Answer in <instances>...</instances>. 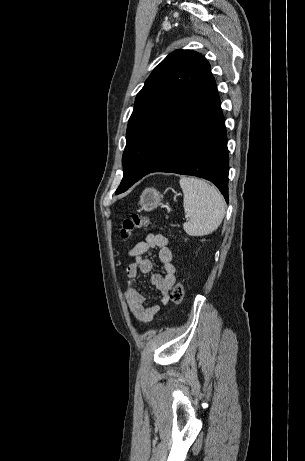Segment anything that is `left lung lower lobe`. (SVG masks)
Returning <instances> with one entry per match:
<instances>
[{
	"instance_id": "1",
	"label": "left lung lower lobe",
	"mask_w": 305,
	"mask_h": 461,
	"mask_svg": "<svg viewBox=\"0 0 305 461\" xmlns=\"http://www.w3.org/2000/svg\"><path fill=\"white\" fill-rule=\"evenodd\" d=\"M152 172L208 179L228 202L225 120L210 70L157 134L150 167L139 179Z\"/></svg>"
}]
</instances>
